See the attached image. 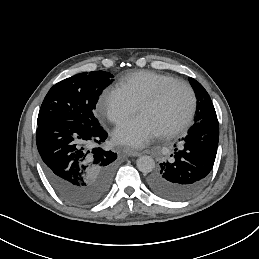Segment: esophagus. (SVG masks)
Segmentation results:
<instances>
[{
  "label": "esophagus",
  "mask_w": 259,
  "mask_h": 259,
  "mask_svg": "<svg viewBox=\"0 0 259 259\" xmlns=\"http://www.w3.org/2000/svg\"><path fill=\"white\" fill-rule=\"evenodd\" d=\"M126 153L128 156H131V157H137V156H140V153L133 150V149H130V148H127L126 149Z\"/></svg>",
  "instance_id": "34e87169"
}]
</instances>
